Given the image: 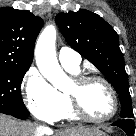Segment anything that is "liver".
I'll return each mask as SVG.
<instances>
[{
	"mask_svg": "<svg viewBox=\"0 0 136 136\" xmlns=\"http://www.w3.org/2000/svg\"><path fill=\"white\" fill-rule=\"evenodd\" d=\"M98 131H100L98 128L73 127L61 131L58 136H91ZM52 134L53 131L49 128L0 114V136H51Z\"/></svg>",
	"mask_w": 136,
	"mask_h": 136,
	"instance_id": "liver-1",
	"label": "liver"
}]
</instances>
